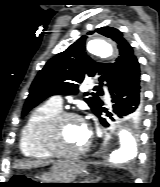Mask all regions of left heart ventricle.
<instances>
[{
    "label": "left heart ventricle",
    "instance_id": "b2bd125f",
    "mask_svg": "<svg viewBox=\"0 0 160 187\" xmlns=\"http://www.w3.org/2000/svg\"><path fill=\"white\" fill-rule=\"evenodd\" d=\"M88 136L84 122L71 119L63 123L60 130V146L66 151H77L85 146Z\"/></svg>",
    "mask_w": 160,
    "mask_h": 187
}]
</instances>
